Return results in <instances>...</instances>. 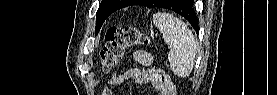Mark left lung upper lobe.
I'll return each mask as SVG.
<instances>
[{"label": "left lung upper lobe", "mask_w": 277, "mask_h": 95, "mask_svg": "<svg viewBox=\"0 0 277 95\" xmlns=\"http://www.w3.org/2000/svg\"><path fill=\"white\" fill-rule=\"evenodd\" d=\"M132 1L133 0H102L96 16V34L110 14L128 6ZM162 2L163 0H149L148 7H159ZM180 2L181 0H177L176 5Z\"/></svg>", "instance_id": "1"}]
</instances>
